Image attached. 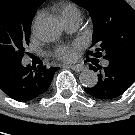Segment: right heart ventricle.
<instances>
[{
  "label": "right heart ventricle",
  "instance_id": "1",
  "mask_svg": "<svg viewBox=\"0 0 135 135\" xmlns=\"http://www.w3.org/2000/svg\"><path fill=\"white\" fill-rule=\"evenodd\" d=\"M58 14L61 20L71 18V17H78L80 18L81 12L79 7L71 2L64 3L58 7Z\"/></svg>",
  "mask_w": 135,
  "mask_h": 135
}]
</instances>
